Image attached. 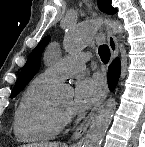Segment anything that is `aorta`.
I'll return each mask as SVG.
<instances>
[{
    "label": "aorta",
    "instance_id": "762f6f07",
    "mask_svg": "<svg viewBox=\"0 0 145 147\" xmlns=\"http://www.w3.org/2000/svg\"><path fill=\"white\" fill-rule=\"evenodd\" d=\"M97 26L98 23L86 22L68 27L64 37L65 49L73 53L85 48L93 41ZM112 26L117 32L121 31V24L119 22H113ZM116 104L115 99H109L100 106L92 118L82 147L101 146L106 130L115 112Z\"/></svg>",
    "mask_w": 145,
    "mask_h": 147
}]
</instances>
